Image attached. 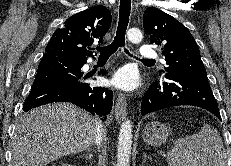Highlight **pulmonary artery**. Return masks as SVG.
<instances>
[{"mask_svg":"<svg viewBox=\"0 0 231 166\" xmlns=\"http://www.w3.org/2000/svg\"><path fill=\"white\" fill-rule=\"evenodd\" d=\"M139 54L141 57L143 58H155L157 57V53L155 51V49L149 45H142L140 50H139Z\"/></svg>","mask_w":231,"mask_h":166,"instance_id":"obj_1","label":"pulmonary artery"}]
</instances>
